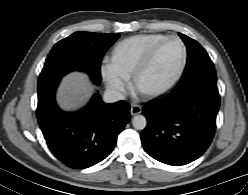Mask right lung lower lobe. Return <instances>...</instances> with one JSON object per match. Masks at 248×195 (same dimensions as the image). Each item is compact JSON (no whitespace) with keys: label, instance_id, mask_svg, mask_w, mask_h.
Here are the masks:
<instances>
[{"label":"right lung lower lobe","instance_id":"1","mask_svg":"<svg viewBox=\"0 0 248 195\" xmlns=\"http://www.w3.org/2000/svg\"><path fill=\"white\" fill-rule=\"evenodd\" d=\"M60 79L38 87L37 119L51 152L73 169H85L104 160L130 120L125 101L106 104L96 94L82 110H60L55 91Z\"/></svg>","mask_w":248,"mask_h":195}]
</instances>
